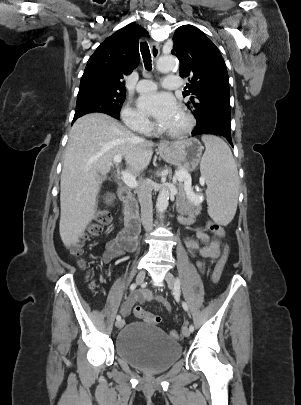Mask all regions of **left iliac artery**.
Here are the masks:
<instances>
[{"label":"left iliac artery","mask_w":301,"mask_h":405,"mask_svg":"<svg viewBox=\"0 0 301 405\" xmlns=\"http://www.w3.org/2000/svg\"><path fill=\"white\" fill-rule=\"evenodd\" d=\"M174 291H175V295H179V293H180V281H179V279H176ZM182 306H183L185 311H188V305L185 302L182 303ZM189 330L191 332H193L194 331V326L190 325Z\"/></svg>","instance_id":"1"}]
</instances>
